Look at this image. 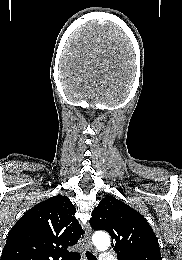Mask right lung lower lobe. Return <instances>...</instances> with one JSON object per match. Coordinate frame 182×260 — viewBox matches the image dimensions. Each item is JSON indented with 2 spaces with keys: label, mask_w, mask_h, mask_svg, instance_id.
Wrapping results in <instances>:
<instances>
[{
  "label": "right lung lower lobe",
  "mask_w": 182,
  "mask_h": 260,
  "mask_svg": "<svg viewBox=\"0 0 182 260\" xmlns=\"http://www.w3.org/2000/svg\"><path fill=\"white\" fill-rule=\"evenodd\" d=\"M72 258H74L75 260H80V255H79V254H76V255H74Z\"/></svg>",
  "instance_id": "1"
}]
</instances>
